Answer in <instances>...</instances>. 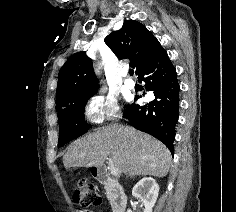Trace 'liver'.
<instances>
[{
    "label": "liver",
    "instance_id": "liver-1",
    "mask_svg": "<svg viewBox=\"0 0 236 212\" xmlns=\"http://www.w3.org/2000/svg\"><path fill=\"white\" fill-rule=\"evenodd\" d=\"M119 173L164 177L172 161L167 147L154 137L130 126L112 124L75 140L63 157L66 169L101 167L107 158Z\"/></svg>",
    "mask_w": 236,
    "mask_h": 212
}]
</instances>
